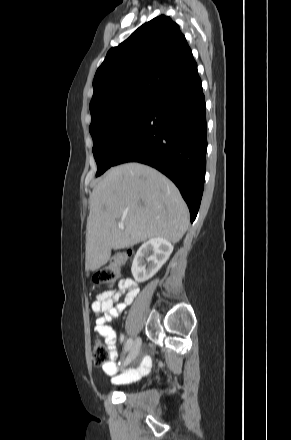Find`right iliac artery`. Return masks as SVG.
<instances>
[{
  "mask_svg": "<svg viewBox=\"0 0 291 440\" xmlns=\"http://www.w3.org/2000/svg\"><path fill=\"white\" fill-rule=\"evenodd\" d=\"M132 344H133V340H132V338H129L127 340V342H126V345H125V351L126 352L129 351V349L131 348Z\"/></svg>",
  "mask_w": 291,
  "mask_h": 440,
  "instance_id": "1",
  "label": "right iliac artery"
}]
</instances>
